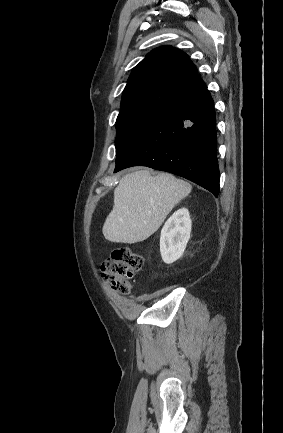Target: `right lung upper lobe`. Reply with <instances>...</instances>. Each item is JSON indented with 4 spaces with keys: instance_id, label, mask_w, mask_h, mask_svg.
Wrapping results in <instances>:
<instances>
[{
    "instance_id": "right-lung-upper-lobe-1",
    "label": "right lung upper lobe",
    "mask_w": 283,
    "mask_h": 433,
    "mask_svg": "<svg viewBox=\"0 0 283 433\" xmlns=\"http://www.w3.org/2000/svg\"><path fill=\"white\" fill-rule=\"evenodd\" d=\"M207 89L187 54L170 46L152 50L132 71L121 109L163 112Z\"/></svg>"
}]
</instances>
